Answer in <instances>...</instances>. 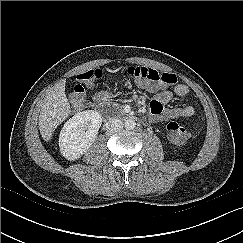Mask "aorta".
Returning a JSON list of instances; mask_svg holds the SVG:
<instances>
[{
	"instance_id": "aorta-1",
	"label": "aorta",
	"mask_w": 243,
	"mask_h": 243,
	"mask_svg": "<svg viewBox=\"0 0 243 243\" xmlns=\"http://www.w3.org/2000/svg\"><path fill=\"white\" fill-rule=\"evenodd\" d=\"M124 126L127 130H133L136 127V122L133 119H127L124 122Z\"/></svg>"
}]
</instances>
